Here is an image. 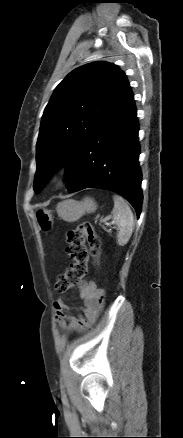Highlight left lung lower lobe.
<instances>
[{
  "instance_id": "0a47b994",
  "label": "left lung lower lobe",
  "mask_w": 183,
  "mask_h": 438,
  "mask_svg": "<svg viewBox=\"0 0 183 438\" xmlns=\"http://www.w3.org/2000/svg\"><path fill=\"white\" fill-rule=\"evenodd\" d=\"M138 121L133 94L78 147L66 163L70 193L85 188L116 192L128 200L139 217L142 174L138 163Z\"/></svg>"
}]
</instances>
